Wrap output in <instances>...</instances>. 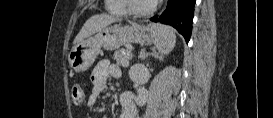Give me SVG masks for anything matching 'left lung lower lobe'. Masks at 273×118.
<instances>
[{"instance_id":"obj_1","label":"left lung lower lobe","mask_w":273,"mask_h":118,"mask_svg":"<svg viewBox=\"0 0 273 118\" xmlns=\"http://www.w3.org/2000/svg\"><path fill=\"white\" fill-rule=\"evenodd\" d=\"M196 0H168L164 12L151 18V21L167 24L178 30L189 42Z\"/></svg>"}]
</instances>
